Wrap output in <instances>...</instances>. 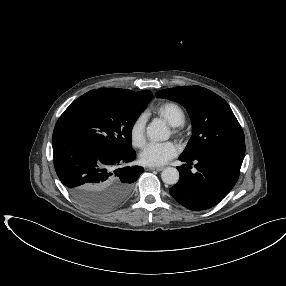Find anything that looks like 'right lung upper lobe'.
Masks as SVG:
<instances>
[{
	"label": "right lung upper lobe",
	"mask_w": 286,
	"mask_h": 286,
	"mask_svg": "<svg viewBox=\"0 0 286 286\" xmlns=\"http://www.w3.org/2000/svg\"><path fill=\"white\" fill-rule=\"evenodd\" d=\"M111 89L116 91V92H119L121 94L128 95V96H135V97L150 96V97L153 98V94L149 90H143V91H139V92H134V91H131V90L120 89V88H111Z\"/></svg>",
	"instance_id": "cb5924a9"
}]
</instances>
